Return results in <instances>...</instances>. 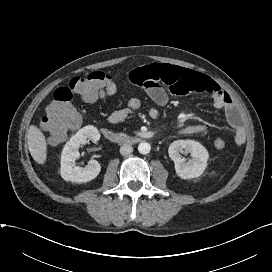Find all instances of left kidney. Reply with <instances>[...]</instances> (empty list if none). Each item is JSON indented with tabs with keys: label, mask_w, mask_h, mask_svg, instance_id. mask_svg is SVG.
Listing matches in <instances>:
<instances>
[{
	"label": "left kidney",
	"mask_w": 272,
	"mask_h": 272,
	"mask_svg": "<svg viewBox=\"0 0 272 272\" xmlns=\"http://www.w3.org/2000/svg\"><path fill=\"white\" fill-rule=\"evenodd\" d=\"M189 152L193 158L185 162L180 153ZM169 157L175 163V171L182 179H192L202 175L207 167L209 154L207 149L194 140H177L170 144Z\"/></svg>",
	"instance_id": "5707ae66"
}]
</instances>
